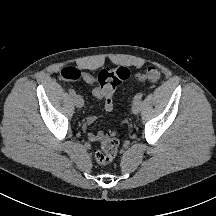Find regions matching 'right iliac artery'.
Wrapping results in <instances>:
<instances>
[{
	"mask_svg": "<svg viewBox=\"0 0 216 216\" xmlns=\"http://www.w3.org/2000/svg\"><path fill=\"white\" fill-rule=\"evenodd\" d=\"M69 93H70L71 96H75L76 95V92L73 89H70Z\"/></svg>",
	"mask_w": 216,
	"mask_h": 216,
	"instance_id": "right-iliac-artery-1",
	"label": "right iliac artery"
}]
</instances>
